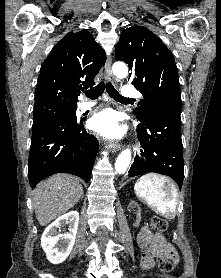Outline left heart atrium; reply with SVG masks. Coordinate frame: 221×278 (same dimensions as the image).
<instances>
[{
  "label": "left heart atrium",
  "instance_id": "obj_1",
  "mask_svg": "<svg viewBox=\"0 0 221 278\" xmlns=\"http://www.w3.org/2000/svg\"><path fill=\"white\" fill-rule=\"evenodd\" d=\"M90 126L94 131L108 137H118L122 134L116 115L108 110L95 115L91 119Z\"/></svg>",
  "mask_w": 221,
  "mask_h": 278
}]
</instances>
